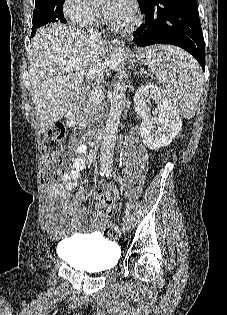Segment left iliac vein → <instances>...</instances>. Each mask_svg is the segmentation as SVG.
I'll return each instance as SVG.
<instances>
[{
  "mask_svg": "<svg viewBox=\"0 0 227 315\" xmlns=\"http://www.w3.org/2000/svg\"><path fill=\"white\" fill-rule=\"evenodd\" d=\"M130 227H131V219H130V217H128L123 222V227H122L123 232L128 231L130 229Z\"/></svg>",
  "mask_w": 227,
  "mask_h": 315,
  "instance_id": "4c4485c4",
  "label": "left iliac vein"
}]
</instances>
